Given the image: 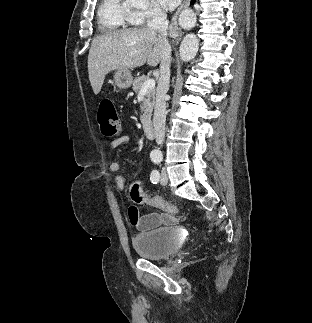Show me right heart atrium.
<instances>
[{
  "label": "right heart atrium",
  "mask_w": 312,
  "mask_h": 323,
  "mask_svg": "<svg viewBox=\"0 0 312 323\" xmlns=\"http://www.w3.org/2000/svg\"><path fill=\"white\" fill-rule=\"evenodd\" d=\"M132 17L138 22H149L150 17H167V10H160L158 6H144L143 10H132Z\"/></svg>",
  "instance_id": "right-heart-atrium-1"
}]
</instances>
